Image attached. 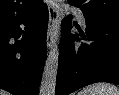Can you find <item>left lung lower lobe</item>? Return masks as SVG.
Returning <instances> with one entry per match:
<instances>
[{
  "label": "left lung lower lobe",
  "mask_w": 119,
  "mask_h": 95,
  "mask_svg": "<svg viewBox=\"0 0 119 95\" xmlns=\"http://www.w3.org/2000/svg\"><path fill=\"white\" fill-rule=\"evenodd\" d=\"M84 17L85 33L78 27L79 34L70 33L71 15L62 22L56 95L96 82L119 84V23Z\"/></svg>",
  "instance_id": "1"
}]
</instances>
